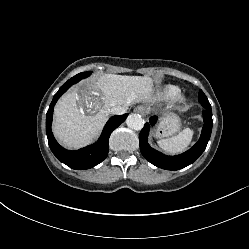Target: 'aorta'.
I'll list each match as a JSON object with an SVG mask.
<instances>
[{
  "label": "aorta",
  "instance_id": "obj_1",
  "mask_svg": "<svg viewBox=\"0 0 249 249\" xmlns=\"http://www.w3.org/2000/svg\"><path fill=\"white\" fill-rule=\"evenodd\" d=\"M126 124L134 130H141L144 126V120L139 114H130L126 119Z\"/></svg>",
  "mask_w": 249,
  "mask_h": 249
}]
</instances>
